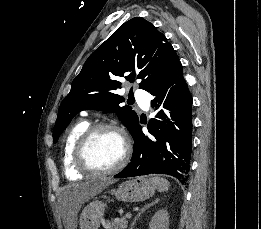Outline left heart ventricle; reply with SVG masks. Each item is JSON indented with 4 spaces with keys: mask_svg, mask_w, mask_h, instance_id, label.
Returning a JSON list of instances; mask_svg holds the SVG:
<instances>
[{
    "mask_svg": "<svg viewBox=\"0 0 261 229\" xmlns=\"http://www.w3.org/2000/svg\"><path fill=\"white\" fill-rule=\"evenodd\" d=\"M123 152L121 137L115 132L104 130L93 138L88 149V158L95 167L109 169L120 162Z\"/></svg>",
    "mask_w": 261,
    "mask_h": 229,
    "instance_id": "b2bd125f",
    "label": "left heart ventricle"
}]
</instances>
